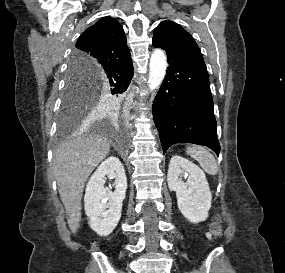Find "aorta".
<instances>
[{"instance_id":"obj_1","label":"aorta","mask_w":285,"mask_h":273,"mask_svg":"<svg viewBox=\"0 0 285 273\" xmlns=\"http://www.w3.org/2000/svg\"><path fill=\"white\" fill-rule=\"evenodd\" d=\"M167 58L162 49H155L151 55L149 63L148 87L151 91L157 89L166 74Z\"/></svg>"}]
</instances>
